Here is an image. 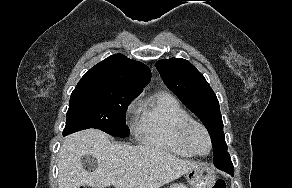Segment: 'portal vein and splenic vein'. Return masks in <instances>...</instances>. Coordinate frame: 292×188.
I'll list each match as a JSON object with an SVG mask.
<instances>
[{"label":"portal vein and splenic vein","mask_w":292,"mask_h":188,"mask_svg":"<svg viewBox=\"0 0 292 188\" xmlns=\"http://www.w3.org/2000/svg\"><path fill=\"white\" fill-rule=\"evenodd\" d=\"M124 173V171H119L118 174L122 175Z\"/></svg>","instance_id":"portal-vein-and-splenic-vein-1"}]
</instances>
